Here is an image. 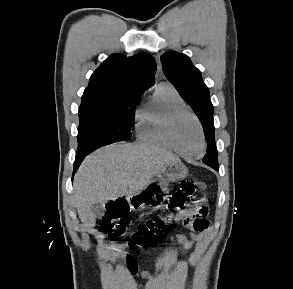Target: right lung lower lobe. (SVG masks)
<instances>
[{
	"label": "right lung lower lobe",
	"instance_id": "obj_1",
	"mask_svg": "<svg viewBox=\"0 0 293 289\" xmlns=\"http://www.w3.org/2000/svg\"><path fill=\"white\" fill-rule=\"evenodd\" d=\"M90 152H82L79 153L77 152L76 154V159H75V163H74V171H73V175L76 172V170L78 169L80 163L83 161V159L85 158L86 155H88Z\"/></svg>",
	"mask_w": 293,
	"mask_h": 289
}]
</instances>
